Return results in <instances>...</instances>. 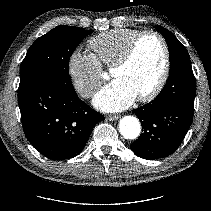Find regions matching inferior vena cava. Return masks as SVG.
<instances>
[{"mask_svg":"<svg viewBox=\"0 0 211 211\" xmlns=\"http://www.w3.org/2000/svg\"><path fill=\"white\" fill-rule=\"evenodd\" d=\"M91 94V90H87L86 92H85V96H89Z\"/></svg>","mask_w":211,"mask_h":211,"instance_id":"inferior-vena-cava-1","label":"inferior vena cava"}]
</instances>
